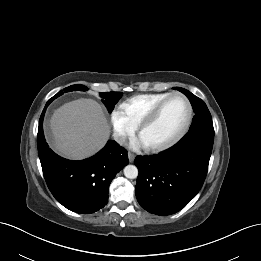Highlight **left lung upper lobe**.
<instances>
[{
    "instance_id": "1",
    "label": "left lung upper lobe",
    "mask_w": 261,
    "mask_h": 261,
    "mask_svg": "<svg viewBox=\"0 0 261 261\" xmlns=\"http://www.w3.org/2000/svg\"><path fill=\"white\" fill-rule=\"evenodd\" d=\"M174 89L185 94L191 102L193 110L195 112L193 122L189 129L190 131H208L214 133L211 114L203 100L192 94L190 91L175 87Z\"/></svg>"
}]
</instances>
